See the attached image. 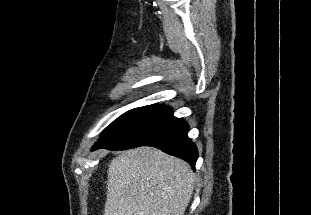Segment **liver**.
Here are the masks:
<instances>
[{"label":"liver","mask_w":311,"mask_h":215,"mask_svg":"<svg viewBox=\"0 0 311 215\" xmlns=\"http://www.w3.org/2000/svg\"><path fill=\"white\" fill-rule=\"evenodd\" d=\"M103 215H184L194 189L189 165L140 147L113 158Z\"/></svg>","instance_id":"6515ba94"}]
</instances>
